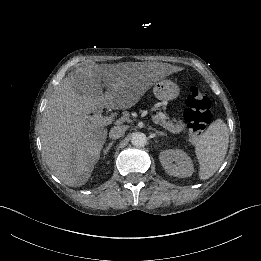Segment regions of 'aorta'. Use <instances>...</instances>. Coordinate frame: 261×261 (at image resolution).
<instances>
[{
    "label": "aorta",
    "mask_w": 261,
    "mask_h": 261,
    "mask_svg": "<svg viewBox=\"0 0 261 261\" xmlns=\"http://www.w3.org/2000/svg\"><path fill=\"white\" fill-rule=\"evenodd\" d=\"M131 143L136 147H143L147 144V137L142 132H135L132 134Z\"/></svg>",
    "instance_id": "obj_1"
}]
</instances>
